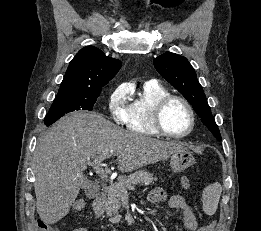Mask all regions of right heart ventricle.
<instances>
[{"label": "right heart ventricle", "mask_w": 261, "mask_h": 231, "mask_svg": "<svg viewBox=\"0 0 261 231\" xmlns=\"http://www.w3.org/2000/svg\"><path fill=\"white\" fill-rule=\"evenodd\" d=\"M169 91L155 82L146 83L126 107L124 125L127 130L143 136L154 137L160 133L153 124V112L157 102Z\"/></svg>", "instance_id": "right-heart-ventricle-1"}]
</instances>
